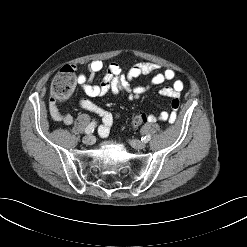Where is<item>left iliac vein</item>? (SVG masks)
I'll list each match as a JSON object with an SVG mask.
<instances>
[{"mask_svg": "<svg viewBox=\"0 0 247 247\" xmlns=\"http://www.w3.org/2000/svg\"><path fill=\"white\" fill-rule=\"evenodd\" d=\"M130 144L133 148L142 150L146 147V144L138 140H130Z\"/></svg>", "mask_w": 247, "mask_h": 247, "instance_id": "1", "label": "left iliac vein"}]
</instances>
